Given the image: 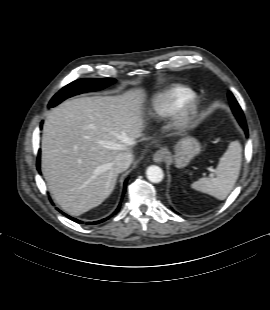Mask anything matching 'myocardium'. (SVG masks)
Wrapping results in <instances>:
<instances>
[{
	"instance_id": "myocardium-1",
	"label": "myocardium",
	"mask_w": 270,
	"mask_h": 310,
	"mask_svg": "<svg viewBox=\"0 0 270 310\" xmlns=\"http://www.w3.org/2000/svg\"><path fill=\"white\" fill-rule=\"evenodd\" d=\"M201 104L196 96L183 103L173 114L171 127L176 133H183L193 128L200 114Z\"/></svg>"
}]
</instances>
